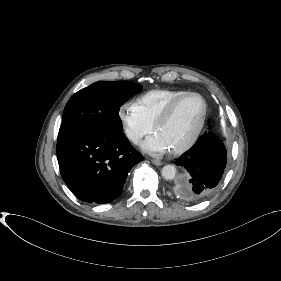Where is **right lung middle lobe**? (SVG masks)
<instances>
[{
	"label": "right lung middle lobe",
	"instance_id": "right-lung-middle-lobe-1",
	"mask_svg": "<svg viewBox=\"0 0 281 281\" xmlns=\"http://www.w3.org/2000/svg\"><path fill=\"white\" fill-rule=\"evenodd\" d=\"M142 86L128 81L96 82L75 93L65 106L57 141L99 132H121L119 109Z\"/></svg>",
	"mask_w": 281,
	"mask_h": 281
}]
</instances>
